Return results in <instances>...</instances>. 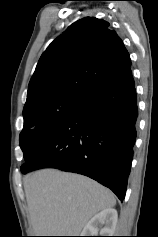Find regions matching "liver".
Segmentation results:
<instances>
[{"label":"liver","mask_w":158,"mask_h":237,"mask_svg":"<svg viewBox=\"0 0 158 237\" xmlns=\"http://www.w3.org/2000/svg\"><path fill=\"white\" fill-rule=\"evenodd\" d=\"M24 190L35 236H79L94 215L116 204L94 180L56 169L27 175Z\"/></svg>","instance_id":"6515ba94"}]
</instances>
